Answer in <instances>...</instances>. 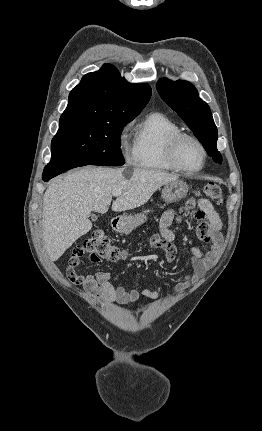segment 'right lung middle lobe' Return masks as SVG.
<instances>
[{"instance_id":"obj_1","label":"right lung middle lobe","mask_w":262,"mask_h":431,"mask_svg":"<svg viewBox=\"0 0 262 431\" xmlns=\"http://www.w3.org/2000/svg\"><path fill=\"white\" fill-rule=\"evenodd\" d=\"M133 119L81 120L60 125L52 139L48 165H123L120 135L123 127Z\"/></svg>"}]
</instances>
